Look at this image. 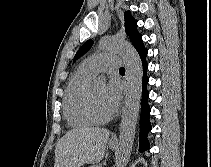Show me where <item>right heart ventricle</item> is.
<instances>
[{
  "mask_svg": "<svg viewBox=\"0 0 211 167\" xmlns=\"http://www.w3.org/2000/svg\"><path fill=\"white\" fill-rule=\"evenodd\" d=\"M93 76L80 66L69 81L64 95V116L72 127L86 128L95 124L85 108V93Z\"/></svg>",
  "mask_w": 211,
  "mask_h": 167,
  "instance_id": "1",
  "label": "right heart ventricle"
}]
</instances>
